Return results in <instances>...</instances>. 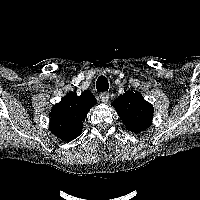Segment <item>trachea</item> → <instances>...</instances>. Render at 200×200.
<instances>
[{"instance_id": "obj_1", "label": "trachea", "mask_w": 200, "mask_h": 200, "mask_svg": "<svg viewBox=\"0 0 200 200\" xmlns=\"http://www.w3.org/2000/svg\"><path fill=\"white\" fill-rule=\"evenodd\" d=\"M96 88L98 92H104L109 89V83L105 76H100L96 82Z\"/></svg>"}]
</instances>
